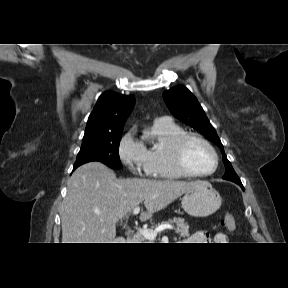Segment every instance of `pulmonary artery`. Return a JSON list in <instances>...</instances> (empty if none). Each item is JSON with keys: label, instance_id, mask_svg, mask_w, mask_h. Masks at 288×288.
<instances>
[{"label": "pulmonary artery", "instance_id": "e3ab8cb5", "mask_svg": "<svg viewBox=\"0 0 288 288\" xmlns=\"http://www.w3.org/2000/svg\"><path fill=\"white\" fill-rule=\"evenodd\" d=\"M158 121H169V119L167 117H160Z\"/></svg>", "mask_w": 288, "mask_h": 288}]
</instances>
